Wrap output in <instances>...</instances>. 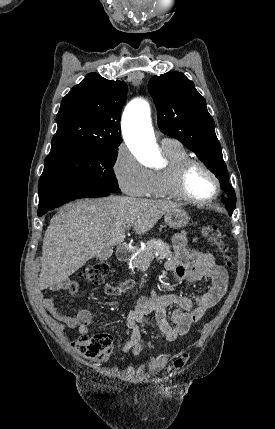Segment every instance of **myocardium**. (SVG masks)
I'll return each instance as SVG.
<instances>
[{"label":"myocardium","instance_id":"1","mask_svg":"<svg viewBox=\"0 0 275 429\" xmlns=\"http://www.w3.org/2000/svg\"><path fill=\"white\" fill-rule=\"evenodd\" d=\"M199 166L203 168L213 179L215 183V192L214 194L205 200H198L193 197H191L186 189H185V181L186 177L189 173V171L193 168ZM170 189L172 194L187 203L203 206L208 205L215 200L218 199L220 193H221V182L218 177V175L215 173V171L204 161L196 159V158H187L181 162H179L177 165L173 167L170 173Z\"/></svg>","mask_w":275,"mask_h":429}]
</instances>
